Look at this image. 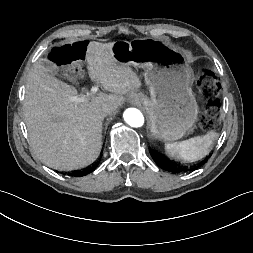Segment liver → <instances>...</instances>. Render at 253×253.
I'll return each instance as SVG.
<instances>
[{"label":"liver","instance_id":"obj_1","mask_svg":"<svg viewBox=\"0 0 253 253\" xmlns=\"http://www.w3.org/2000/svg\"><path fill=\"white\" fill-rule=\"evenodd\" d=\"M114 43L90 42L87 69L92 81L111 94L99 93L75 102L77 89L47 73L42 59L28 75L24 100V121L31 147L45 165L60 170L85 167L96 160L102 147L104 104L115 108L123 95L138 90L142 83L129 65L112 54Z\"/></svg>","mask_w":253,"mask_h":253}]
</instances>
